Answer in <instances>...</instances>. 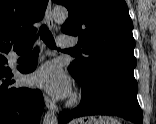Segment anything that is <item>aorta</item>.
Wrapping results in <instances>:
<instances>
[{"label":"aorta","instance_id":"aorta-1","mask_svg":"<svg viewBox=\"0 0 156 124\" xmlns=\"http://www.w3.org/2000/svg\"><path fill=\"white\" fill-rule=\"evenodd\" d=\"M52 17L56 22H64L68 18V11L66 8H54ZM43 124H58L56 114L52 111H47L44 115Z\"/></svg>","mask_w":156,"mask_h":124}]
</instances>
